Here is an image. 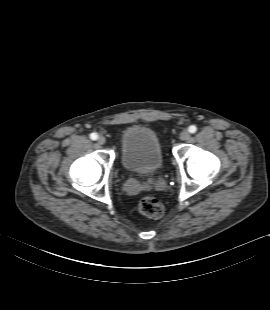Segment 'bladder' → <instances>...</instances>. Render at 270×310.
<instances>
[{"label": "bladder", "instance_id": "bladder-1", "mask_svg": "<svg viewBox=\"0 0 270 310\" xmlns=\"http://www.w3.org/2000/svg\"><path fill=\"white\" fill-rule=\"evenodd\" d=\"M120 160L130 172L144 175L157 173L164 164L159 137L148 127L125 129L120 137Z\"/></svg>", "mask_w": 270, "mask_h": 310}]
</instances>
